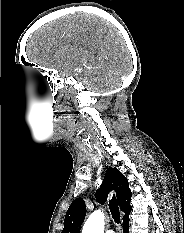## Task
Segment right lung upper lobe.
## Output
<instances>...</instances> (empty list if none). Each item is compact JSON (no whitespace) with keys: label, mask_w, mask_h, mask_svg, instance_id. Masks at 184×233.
Masks as SVG:
<instances>
[{"label":"right lung upper lobe","mask_w":184,"mask_h":233,"mask_svg":"<svg viewBox=\"0 0 184 233\" xmlns=\"http://www.w3.org/2000/svg\"><path fill=\"white\" fill-rule=\"evenodd\" d=\"M112 189L116 193L120 209L125 212L124 220L128 218L131 211L130 198L132 193L127 178L116 167L107 169L102 185L95 194L97 202L104 204L109 191ZM85 215L84 200L82 198L75 199L66 212L62 233H79Z\"/></svg>","instance_id":"right-lung-upper-lobe-1"}]
</instances>
